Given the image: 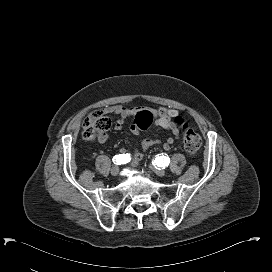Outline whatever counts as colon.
<instances>
[{
    "instance_id": "1",
    "label": "colon",
    "mask_w": 272,
    "mask_h": 272,
    "mask_svg": "<svg viewBox=\"0 0 272 272\" xmlns=\"http://www.w3.org/2000/svg\"><path fill=\"white\" fill-rule=\"evenodd\" d=\"M151 114L148 112H141L135 118V125L145 126L150 122ZM176 123L178 125L186 126L185 121L177 117ZM111 126V121L109 117L105 114L103 110L93 111L82 123V135L87 141H92L95 137ZM183 145L186 153L189 156H195L201 147V138L197 132L191 128H186L183 135Z\"/></svg>"
}]
</instances>
